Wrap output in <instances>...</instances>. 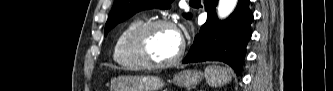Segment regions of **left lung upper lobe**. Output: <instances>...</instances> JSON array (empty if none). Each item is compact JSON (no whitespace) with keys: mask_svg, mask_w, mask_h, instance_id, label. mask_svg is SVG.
<instances>
[{"mask_svg":"<svg viewBox=\"0 0 333 91\" xmlns=\"http://www.w3.org/2000/svg\"><path fill=\"white\" fill-rule=\"evenodd\" d=\"M173 0H115L114 5L109 13L108 20L105 25V35L118 23L126 20L136 12L152 8L154 5H159V8H170V3ZM190 18V14L184 15Z\"/></svg>","mask_w":333,"mask_h":91,"instance_id":"left-lung-upper-lobe-1","label":"left lung upper lobe"}]
</instances>
